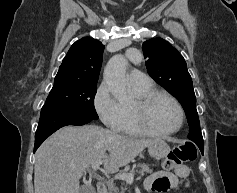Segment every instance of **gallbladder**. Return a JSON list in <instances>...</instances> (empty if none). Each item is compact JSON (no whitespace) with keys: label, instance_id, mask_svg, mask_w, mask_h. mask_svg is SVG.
Segmentation results:
<instances>
[{"label":"gallbladder","instance_id":"bac80fb5","mask_svg":"<svg viewBox=\"0 0 237 193\" xmlns=\"http://www.w3.org/2000/svg\"><path fill=\"white\" fill-rule=\"evenodd\" d=\"M80 193H94V189L90 185H83L81 187Z\"/></svg>","mask_w":237,"mask_h":193}]
</instances>
